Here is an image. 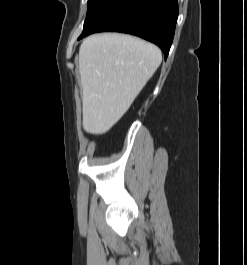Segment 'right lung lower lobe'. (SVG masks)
Listing matches in <instances>:
<instances>
[{
	"label": "right lung lower lobe",
	"instance_id": "98d812e1",
	"mask_svg": "<svg viewBox=\"0 0 247 265\" xmlns=\"http://www.w3.org/2000/svg\"><path fill=\"white\" fill-rule=\"evenodd\" d=\"M177 17V0H100L78 39L102 31L129 33L155 43L167 58Z\"/></svg>",
	"mask_w": 247,
	"mask_h": 265
}]
</instances>
